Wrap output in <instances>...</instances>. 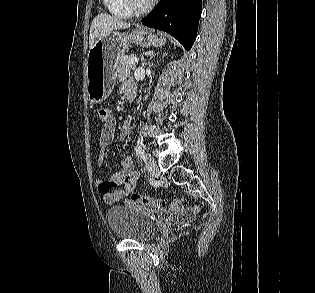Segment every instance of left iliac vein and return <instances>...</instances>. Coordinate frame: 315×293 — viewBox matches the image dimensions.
<instances>
[{"label":"left iliac vein","instance_id":"left-iliac-vein-1","mask_svg":"<svg viewBox=\"0 0 315 293\" xmlns=\"http://www.w3.org/2000/svg\"><path fill=\"white\" fill-rule=\"evenodd\" d=\"M145 164H146L148 171L153 176H155L158 173V171H159L158 165H157L155 159L150 154L146 155Z\"/></svg>","mask_w":315,"mask_h":293}]
</instances>
